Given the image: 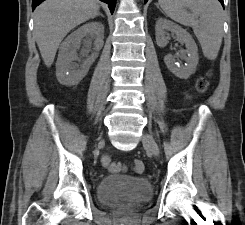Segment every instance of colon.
<instances>
[{
  "label": "colon",
  "mask_w": 245,
  "mask_h": 225,
  "mask_svg": "<svg viewBox=\"0 0 245 225\" xmlns=\"http://www.w3.org/2000/svg\"><path fill=\"white\" fill-rule=\"evenodd\" d=\"M208 80L206 78H202L198 81L196 90L198 93H203L207 90L208 88ZM103 165L108 169V170H117L120 168V165L113 162L109 157L105 156L102 159ZM144 164L140 160H134L131 163V169L135 173H142L144 171Z\"/></svg>",
  "instance_id": "5ec220e1"
}]
</instances>
